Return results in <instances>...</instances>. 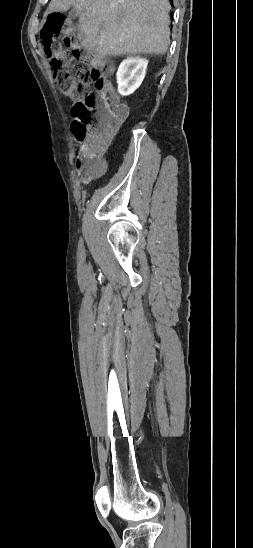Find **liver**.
I'll return each instance as SVG.
<instances>
[{"label": "liver", "mask_w": 253, "mask_h": 548, "mask_svg": "<svg viewBox=\"0 0 253 548\" xmlns=\"http://www.w3.org/2000/svg\"><path fill=\"white\" fill-rule=\"evenodd\" d=\"M77 12L81 44L98 57L166 53L168 0H51L46 13Z\"/></svg>", "instance_id": "obj_1"}]
</instances>
